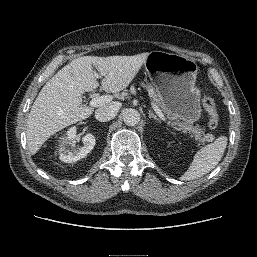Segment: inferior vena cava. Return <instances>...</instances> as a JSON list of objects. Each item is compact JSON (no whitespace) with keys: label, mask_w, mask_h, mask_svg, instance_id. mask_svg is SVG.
Returning a JSON list of instances; mask_svg holds the SVG:
<instances>
[{"label":"inferior vena cava","mask_w":257,"mask_h":257,"mask_svg":"<svg viewBox=\"0 0 257 257\" xmlns=\"http://www.w3.org/2000/svg\"><path fill=\"white\" fill-rule=\"evenodd\" d=\"M120 109L119 103H111L108 106H103L95 111V118L100 122H107L113 119Z\"/></svg>","instance_id":"602c4592"}]
</instances>
